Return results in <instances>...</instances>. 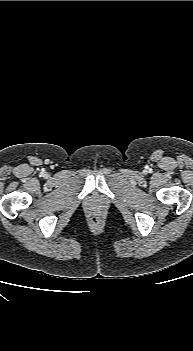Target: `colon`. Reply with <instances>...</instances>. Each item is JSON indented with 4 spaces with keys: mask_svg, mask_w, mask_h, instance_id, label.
Returning a JSON list of instances; mask_svg holds the SVG:
<instances>
[{
    "mask_svg": "<svg viewBox=\"0 0 193 351\" xmlns=\"http://www.w3.org/2000/svg\"><path fill=\"white\" fill-rule=\"evenodd\" d=\"M92 223L98 224V223H99V220H98L97 218H92Z\"/></svg>",
    "mask_w": 193,
    "mask_h": 351,
    "instance_id": "obj_1",
    "label": "colon"
}]
</instances>
